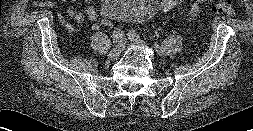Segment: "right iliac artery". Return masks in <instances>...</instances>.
<instances>
[{
  "label": "right iliac artery",
  "instance_id": "1",
  "mask_svg": "<svg viewBox=\"0 0 253 131\" xmlns=\"http://www.w3.org/2000/svg\"><path fill=\"white\" fill-rule=\"evenodd\" d=\"M113 36L117 39V41L119 42H123L125 41V36H124V33L120 30H115L113 32Z\"/></svg>",
  "mask_w": 253,
  "mask_h": 131
}]
</instances>
